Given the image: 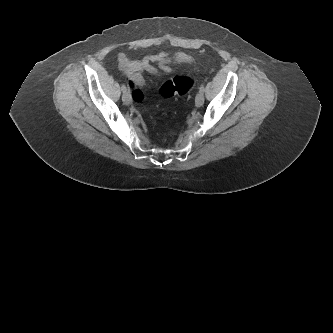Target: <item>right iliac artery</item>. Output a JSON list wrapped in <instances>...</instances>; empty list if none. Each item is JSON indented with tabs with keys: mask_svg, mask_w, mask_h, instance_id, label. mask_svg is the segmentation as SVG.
<instances>
[{
	"mask_svg": "<svg viewBox=\"0 0 333 333\" xmlns=\"http://www.w3.org/2000/svg\"><path fill=\"white\" fill-rule=\"evenodd\" d=\"M121 90H122L123 92H126V91H127V87H126L125 84H122V86H121Z\"/></svg>",
	"mask_w": 333,
	"mask_h": 333,
	"instance_id": "82829eb1",
	"label": "right iliac artery"
}]
</instances>
